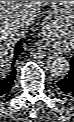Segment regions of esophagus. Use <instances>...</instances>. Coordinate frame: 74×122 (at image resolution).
<instances>
[{
  "label": "esophagus",
  "instance_id": "34e87169",
  "mask_svg": "<svg viewBox=\"0 0 74 122\" xmlns=\"http://www.w3.org/2000/svg\"><path fill=\"white\" fill-rule=\"evenodd\" d=\"M49 25L44 23L43 27L41 29V37H46L47 36V30H48Z\"/></svg>",
  "mask_w": 74,
  "mask_h": 122
}]
</instances>
